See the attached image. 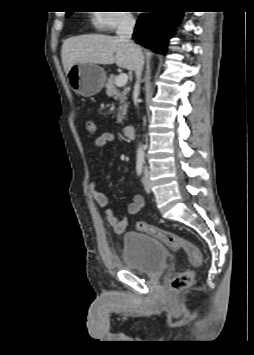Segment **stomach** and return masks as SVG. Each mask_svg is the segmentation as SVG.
Segmentation results:
<instances>
[{
	"label": "stomach",
	"mask_w": 254,
	"mask_h": 355,
	"mask_svg": "<svg viewBox=\"0 0 254 355\" xmlns=\"http://www.w3.org/2000/svg\"><path fill=\"white\" fill-rule=\"evenodd\" d=\"M71 89L84 97H91L104 86L106 73L102 67L94 63H78L67 73Z\"/></svg>",
	"instance_id": "stomach-1"
}]
</instances>
